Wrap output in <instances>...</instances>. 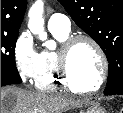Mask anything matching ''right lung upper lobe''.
<instances>
[{
  "label": "right lung upper lobe",
  "instance_id": "right-lung-upper-lobe-1",
  "mask_svg": "<svg viewBox=\"0 0 123 113\" xmlns=\"http://www.w3.org/2000/svg\"><path fill=\"white\" fill-rule=\"evenodd\" d=\"M27 0H1V34L19 33Z\"/></svg>",
  "mask_w": 123,
  "mask_h": 113
}]
</instances>
